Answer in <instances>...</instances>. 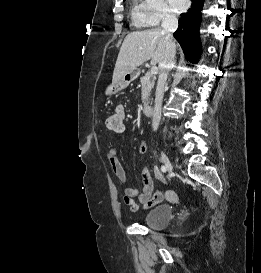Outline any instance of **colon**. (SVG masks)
Masks as SVG:
<instances>
[{
  "label": "colon",
  "instance_id": "colon-1",
  "mask_svg": "<svg viewBox=\"0 0 261 273\" xmlns=\"http://www.w3.org/2000/svg\"><path fill=\"white\" fill-rule=\"evenodd\" d=\"M106 125L108 127V129L112 130V131H119L122 128V120L121 117L118 115H111L107 118L106 120ZM168 197L173 199L174 195L172 194V192H168Z\"/></svg>",
  "mask_w": 261,
  "mask_h": 273
}]
</instances>
